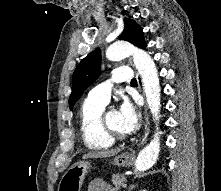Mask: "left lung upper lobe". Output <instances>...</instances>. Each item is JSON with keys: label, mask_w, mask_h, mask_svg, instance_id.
<instances>
[{"label": "left lung upper lobe", "mask_w": 221, "mask_h": 191, "mask_svg": "<svg viewBox=\"0 0 221 191\" xmlns=\"http://www.w3.org/2000/svg\"><path fill=\"white\" fill-rule=\"evenodd\" d=\"M125 27L118 39L126 40L142 49L147 44L144 41L141 27L132 19H124ZM101 51L97 49L89 53L77 66L73 74L72 93L69 98V107L72 110L76 101L81 97L84 90L90 86L101 74Z\"/></svg>", "instance_id": "5c2ea615"}]
</instances>
